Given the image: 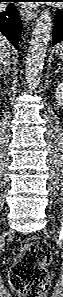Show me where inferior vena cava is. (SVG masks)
<instances>
[{
    "label": "inferior vena cava",
    "instance_id": "obj_1",
    "mask_svg": "<svg viewBox=\"0 0 63 297\" xmlns=\"http://www.w3.org/2000/svg\"><path fill=\"white\" fill-rule=\"evenodd\" d=\"M2 64H4V66H7L9 64L7 58L4 61H2Z\"/></svg>",
    "mask_w": 63,
    "mask_h": 297
}]
</instances>
